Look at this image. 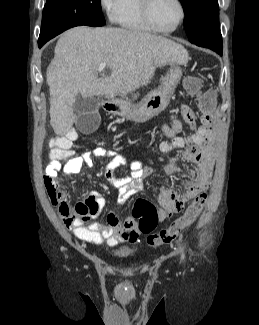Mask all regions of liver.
Wrapping results in <instances>:
<instances>
[{"label": "liver", "mask_w": 259, "mask_h": 325, "mask_svg": "<svg viewBox=\"0 0 259 325\" xmlns=\"http://www.w3.org/2000/svg\"><path fill=\"white\" fill-rule=\"evenodd\" d=\"M47 68L50 124L56 135H65L77 121L73 104L84 97L105 95L113 99L146 85L156 67L185 64L187 50L162 36L120 28L79 26L57 41ZM100 63L111 75L99 78Z\"/></svg>", "instance_id": "1"}]
</instances>
